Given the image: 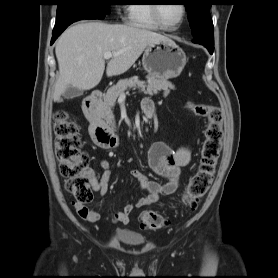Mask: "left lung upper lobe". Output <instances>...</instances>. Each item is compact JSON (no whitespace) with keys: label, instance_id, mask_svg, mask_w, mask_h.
<instances>
[{"label":"left lung upper lobe","instance_id":"1","mask_svg":"<svg viewBox=\"0 0 278 278\" xmlns=\"http://www.w3.org/2000/svg\"><path fill=\"white\" fill-rule=\"evenodd\" d=\"M193 41L214 46L213 22L209 13L212 0H186Z\"/></svg>","mask_w":278,"mask_h":278}]
</instances>
